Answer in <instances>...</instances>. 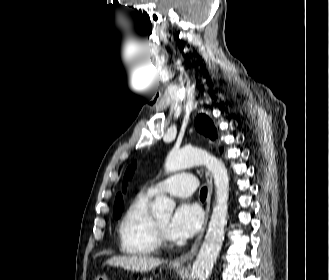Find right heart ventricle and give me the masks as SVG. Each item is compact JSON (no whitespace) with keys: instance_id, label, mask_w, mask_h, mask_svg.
Instances as JSON below:
<instances>
[{"instance_id":"right-heart-ventricle-1","label":"right heart ventricle","mask_w":329,"mask_h":280,"mask_svg":"<svg viewBox=\"0 0 329 280\" xmlns=\"http://www.w3.org/2000/svg\"><path fill=\"white\" fill-rule=\"evenodd\" d=\"M152 197L149 192L136 196L119 224L121 250L126 254L146 256L157 248L154 218L149 208Z\"/></svg>"}]
</instances>
